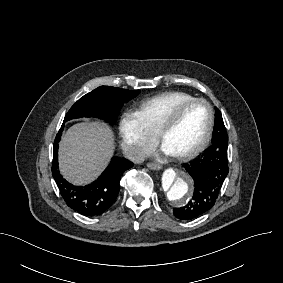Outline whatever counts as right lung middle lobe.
Listing matches in <instances>:
<instances>
[{"label":"right lung middle lobe","instance_id":"dd1d6c3e","mask_svg":"<svg viewBox=\"0 0 283 283\" xmlns=\"http://www.w3.org/2000/svg\"><path fill=\"white\" fill-rule=\"evenodd\" d=\"M139 93V90L100 86L74 103L64 122L80 117H97L114 124L123 104Z\"/></svg>","mask_w":283,"mask_h":283}]
</instances>
